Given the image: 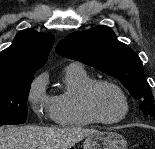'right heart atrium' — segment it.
Returning <instances> with one entry per match:
<instances>
[{"label":"right heart atrium","mask_w":155,"mask_h":149,"mask_svg":"<svg viewBox=\"0 0 155 149\" xmlns=\"http://www.w3.org/2000/svg\"><path fill=\"white\" fill-rule=\"evenodd\" d=\"M47 75H39L31 84L28 92V101L38 116L52 117L53 97L46 92Z\"/></svg>","instance_id":"d8ad5b80"}]
</instances>
